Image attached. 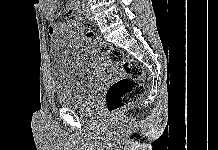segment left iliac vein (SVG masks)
Wrapping results in <instances>:
<instances>
[{
	"label": "left iliac vein",
	"instance_id": "left-iliac-vein-1",
	"mask_svg": "<svg viewBox=\"0 0 218 150\" xmlns=\"http://www.w3.org/2000/svg\"><path fill=\"white\" fill-rule=\"evenodd\" d=\"M84 14H85V17L88 19V20H91L92 21V16H91V13H90V10H89V7L88 5H85L84 6V10H83Z\"/></svg>",
	"mask_w": 218,
	"mask_h": 150
}]
</instances>
